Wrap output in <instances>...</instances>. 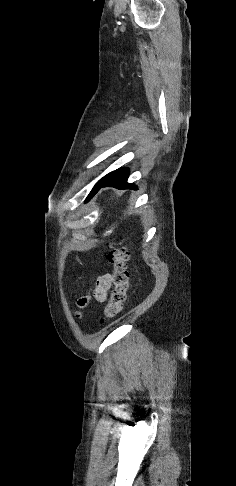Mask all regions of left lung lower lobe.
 <instances>
[{
	"mask_svg": "<svg viewBox=\"0 0 236 486\" xmlns=\"http://www.w3.org/2000/svg\"><path fill=\"white\" fill-rule=\"evenodd\" d=\"M128 176L129 171L126 168H120L109 173L108 176L99 184L97 192L102 187H115L118 189H137L135 185L127 183Z\"/></svg>",
	"mask_w": 236,
	"mask_h": 486,
	"instance_id": "1",
	"label": "left lung lower lobe"
}]
</instances>
